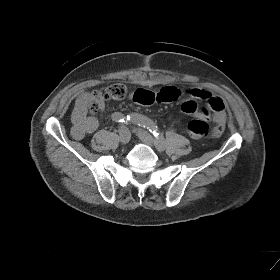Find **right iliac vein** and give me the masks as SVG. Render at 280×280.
I'll list each match as a JSON object with an SVG mask.
<instances>
[{
	"label": "right iliac vein",
	"instance_id": "right-iliac-vein-1",
	"mask_svg": "<svg viewBox=\"0 0 280 280\" xmlns=\"http://www.w3.org/2000/svg\"><path fill=\"white\" fill-rule=\"evenodd\" d=\"M119 138L122 144H127L130 141L131 134L127 127L122 126L119 129Z\"/></svg>",
	"mask_w": 280,
	"mask_h": 280
}]
</instances>
